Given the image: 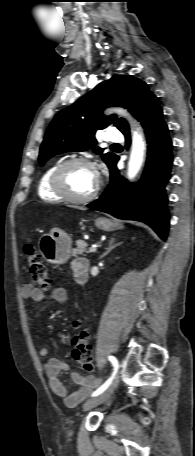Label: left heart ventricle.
I'll return each mask as SVG.
<instances>
[{"instance_id": "left-heart-ventricle-1", "label": "left heart ventricle", "mask_w": 195, "mask_h": 456, "mask_svg": "<svg viewBox=\"0 0 195 456\" xmlns=\"http://www.w3.org/2000/svg\"><path fill=\"white\" fill-rule=\"evenodd\" d=\"M67 191L74 196L88 195L96 185V174L88 166L75 164L67 168L63 176Z\"/></svg>"}]
</instances>
